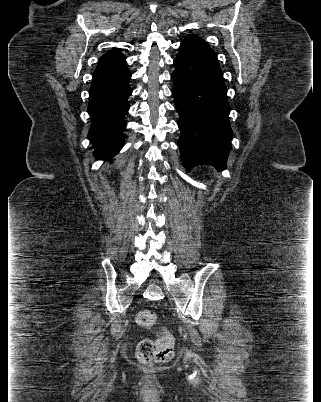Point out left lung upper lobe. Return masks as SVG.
Listing matches in <instances>:
<instances>
[{"label": "left lung upper lobe", "mask_w": 321, "mask_h": 402, "mask_svg": "<svg viewBox=\"0 0 321 402\" xmlns=\"http://www.w3.org/2000/svg\"><path fill=\"white\" fill-rule=\"evenodd\" d=\"M185 39H199V40H202L200 37H198L197 35H189V36H187Z\"/></svg>", "instance_id": "5c2ea615"}]
</instances>
